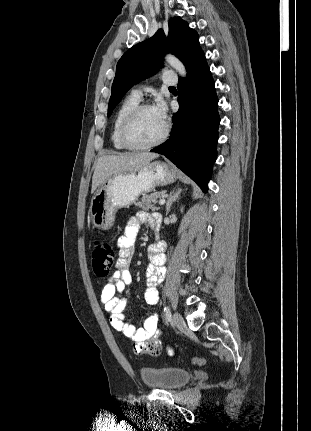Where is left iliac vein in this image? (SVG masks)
I'll use <instances>...</instances> for the list:
<instances>
[{
	"mask_svg": "<svg viewBox=\"0 0 311 431\" xmlns=\"http://www.w3.org/2000/svg\"><path fill=\"white\" fill-rule=\"evenodd\" d=\"M173 323H174L175 327L179 330H184L186 328V324H185L184 319L177 312L174 313V315H173Z\"/></svg>",
	"mask_w": 311,
	"mask_h": 431,
	"instance_id": "obj_1",
	"label": "left iliac vein"
}]
</instances>
